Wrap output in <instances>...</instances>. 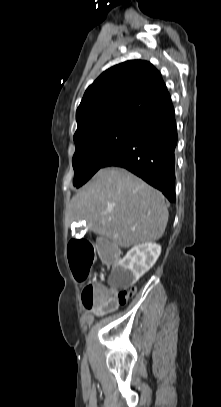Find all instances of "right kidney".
<instances>
[{"mask_svg":"<svg viewBox=\"0 0 221 407\" xmlns=\"http://www.w3.org/2000/svg\"><path fill=\"white\" fill-rule=\"evenodd\" d=\"M161 253V246L156 243H143L131 248L121 259L115 274L124 287L134 285L155 264Z\"/></svg>","mask_w":221,"mask_h":407,"instance_id":"1","label":"right kidney"}]
</instances>
